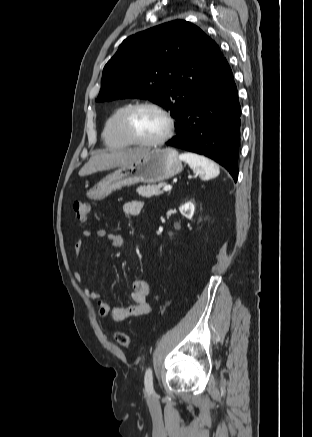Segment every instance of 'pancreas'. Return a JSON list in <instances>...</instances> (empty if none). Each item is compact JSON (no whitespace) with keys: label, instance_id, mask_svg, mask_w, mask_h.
Returning <instances> with one entry per match:
<instances>
[{"label":"pancreas","instance_id":"pancreas-1","mask_svg":"<svg viewBox=\"0 0 312 437\" xmlns=\"http://www.w3.org/2000/svg\"><path fill=\"white\" fill-rule=\"evenodd\" d=\"M164 184H158V185H149V186H140L137 188V193L146 198H150L153 196H158L162 194V191H160V188Z\"/></svg>","mask_w":312,"mask_h":437}]
</instances>
